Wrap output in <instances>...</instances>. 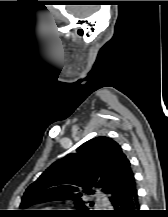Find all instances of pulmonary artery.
Returning <instances> with one entry per match:
<instances>
[{"instance_id": "pulmonary-artery-1", "label": "pulmonary artery", "mask_w": 168, "mask_h": 217, "mask_svg": "<svg viewBox=\"0 0 168 217\" xmlns=\"http://www.w3.org/2000/svg\"><path fill=\"white\" fill-rule=\"evenodd\" d=\"M98 202L103 205H107L109 203V200H107L106 198H99Z\"/></svg>"}]
</instances>
